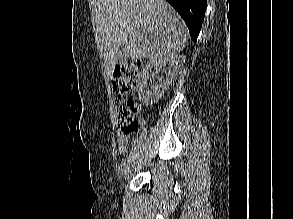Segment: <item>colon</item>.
Masks as SVG:
<instances>
[{"mask_svg":"<svg viewBox=\"0 0 293 219\" xmlns=\"http://www.w3.org/2000/svg\"><path fill=\"white\" fill-rule=\"evenodd\" d=\"M140 63L130 62L115 68L112 77V91L115 100L120 103L118 110V126L120 132L129 135L138 132L142 121L137 118L140 109L139 103L134 100Z\"/></svg>","mask_w":293,"mask_h":219,"instance_id":"1","label":"colon"}]
</instances>
